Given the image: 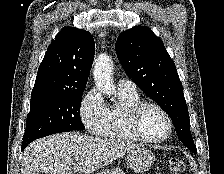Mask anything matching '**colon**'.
Returning <instances> with one entry per match:
<instances>
[{
  "label": "colon",
  "instance_id": "1",
  "mask_svg": "<svg viewBox=\"0 0 224 174\" xmlns=\"http://www.w3.org/2000/svg\"><path fill=\"white\" fill-rule=\"evenodd\" d=\"M186 165L180 159H171L168 164L169 174H182L185 171Z\"/></svg>",
  "mask_w": 224,
  "mask_h": 174
}]
</instances>
